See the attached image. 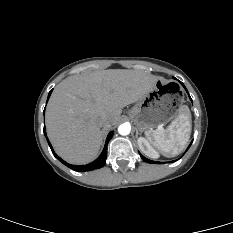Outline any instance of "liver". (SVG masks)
Returning a JSON list of instances; mask_svg holds the SVG:
<instances>
[{
  "mask_svg": "<svg viewBox=\"0 0 233 233\" xmlns=\"http://www.w3.org/2000/svg\"><path fill=\"white\" fill-rule=\"evenodd\" d=\"M157 77L136 70L108 69L73 75L54 89L46 109L48 137L59 156L72 164L93 161L103 142L101 118L110 129L122 108L139 101Z\"/></svg>",
  "mask_w": 233,
  "mask_h": 233,
  "instance_id": "6515ba94",
  "label": "liver"
}]
</instances>
